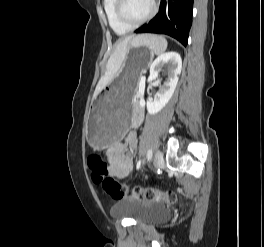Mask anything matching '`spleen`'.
<instances>
[{
  "instance_id": "obj_1",
  "label": "spleen",
  "mask_w": 264,
  "mask_h": 247,
  "mask_svg": "<svg viewBox=\"0 0 264 247\" xmlns=\"http://www.w3.org/2000/svg\"><path fill=\"white\" fill-rule=\"evenodd\" d=\"M143 44L147 45L157 55L163 53L167 48V40L157 35H145Z\"/></svg>"
}]
</instances>
